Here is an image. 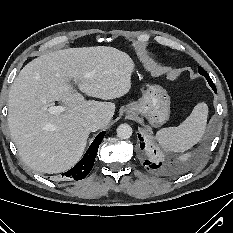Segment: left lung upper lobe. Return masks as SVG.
<instances>
[{
	"instance_id": "obj_1",
	"label": "left lung upper lobe",
	"mask_w": 233,
	"mask_h": 233,
	"mask_svg": "<svg viewBox=\"0 0 233 233\" xmlns=\"http://www.w3.org/2000/svg\"><path fill=\"white\" fill-rule=\"evenodd\" d=\"M198 70H199V73H200V74L206 73V72L203 70V68H201V67H198Z\"/></svg>"
}]
</instances>
